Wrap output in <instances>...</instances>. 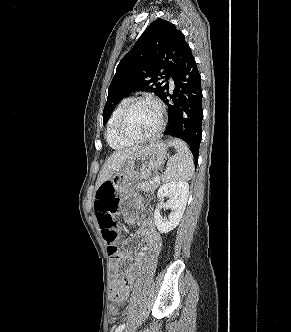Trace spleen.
<instances>
[{"label":"spleen","instance_id":"spleen-1","mask_svg":"<svg viewBox=\"0 0 291 332\" xmlns=\"http://www.w3.org/2000/svg\"><path fill=\"white\" fill-rule=\"evenodd\" d=\"M176 149V154L169 158L167 168L161 176L164 182L188 181L194 174L193 155L187 144L177 138L168 142Z\"/></svg>","mask_w":291,"mask_h":332}]
</instances>
